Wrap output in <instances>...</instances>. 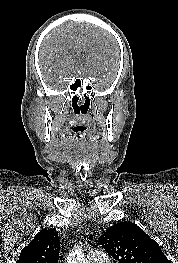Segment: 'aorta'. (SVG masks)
I'll use <instances>...</instances> for the list:
<instances>
[{
  "instance_id": "762f6f07",
  "label": "aorta",
  "mask_w": 178,
  "mask_h": 263,
  "mask_svg": "<svg viewBox=\"0 0 178 263\" xmlns=\"http://www.w3.org/2000/svg\"><path fill=\"white\" fill-rule=\"evenodd\" d=\"M67 263H87L84 254L80 249H76L69 254Z\"/></svg>"
}]
</instances>
